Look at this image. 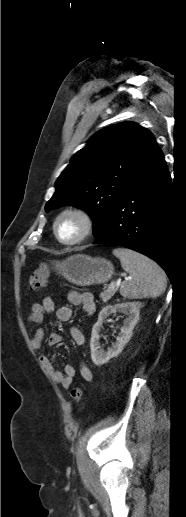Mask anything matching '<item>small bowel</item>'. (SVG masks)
I'll return each mask as SVG.
<instances>
[{"label":"small bowel","instance_id":"obj_1","mask_svg":"<svg viewBox=\"0 0 186 517\" xmlns=\"http://www.w3.org/2000/svg\"><path fill=\"white\" fill-rule=\"evenodd\" d=\"M66 301L71 305L81 306L83 313L87 316L92 315L95 312L96 306L94 297L89 292H69L66 295ZM53 311H55L56 318L60 322L69 321L73 315L72 309L69 306H62L58 309H55V302L53 298L45 297L41 303L32 305L31 312L28 316V322L32 324H41L45 314L51 313ZM70 335L75 345L80 346L84 343V335L77 327H72L70 329ZM43 339L44 330L43 328L38 327L34 331L32 337L33 348L40 350L42 347ZM47 341L50 346H55L60 344L62 337L60 334L52 332L49 334ZM39 360L43 368L48 372L56 384L60 385L63 389H68L71 386L73 378L76 374V370L73 365L66 364L63 371H61L55 368L51 358L45 353L40 355ZM80 373L83 380L86 382H90L93 378L91 370L85 364L81 365Z\"/></svg>","mask_w":186,"mask_h":517}]
</instances>
